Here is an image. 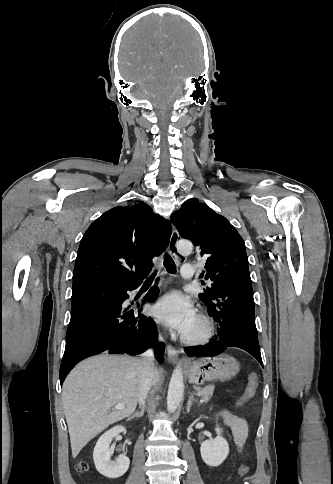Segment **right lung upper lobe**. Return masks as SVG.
<instances>
[{"label":"right lung upper lobe","mask_w":333,"mask_h":484,"mask_svg":"<svg viewBox=\"0 0 333 484\" xmlns=\"http://www.w3.org/2000/svg\"><path fill=\"white\" fill-rule=\"evenodd\" d=\"M171 231L170 222L144 202L110 209L90 225L81 240L73 288L140 284L151 271L152 259L167 247Z\"/></svg>","instance_id":"cb5924a9"}]
</instances>
